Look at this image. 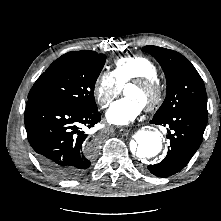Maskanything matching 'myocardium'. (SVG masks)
Segmentation results:
<instances>
[{"mask_svg":"<svg viewBox=\"0 0 221 221\" xmlns=\"http://www.w3.org/2000/svg\"><path fill=\"white\" fill-rule=\"evenodd\" d=\"M129 85H133L138 88H141L149 94L148 99L144 103V106L147 110H153L163 100V89L157 78L138 77L129 81L126 87Z\"/></svg>","mask_w":221,"mask_h":221,"instance_id":"myocardium-1","label":"myocardium"}]
</instances>
